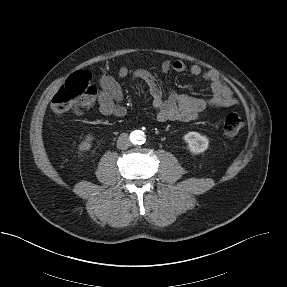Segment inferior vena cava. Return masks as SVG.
I'll list each match as a JSON object with an SVG mask.
<instances>
[{"label": "inferior vena cava", "mask_w": 287, "mask_h": 287, "mask_svg": "<svg viewBox=\"0 0 287 287\" xmlns=\"http://www.w3.org/2000/svg\"><path fill=\"white\" fill-rule=\"evenodd\" d=\"M131 145L129 137L126 133L121 134L117 140V148L121 150L128 149Z\"/></svg>", "instance_id": "602c4592"}]
</instances>
